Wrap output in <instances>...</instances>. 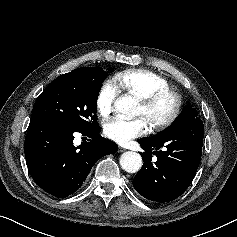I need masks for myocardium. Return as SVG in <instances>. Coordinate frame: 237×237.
Instances as JSON below:
<instances>
[{"mask_svg":"<svg viewBox=\"0 0 237 237\" xmlns=\"http://www.w3.org/2000/svg\"><path fill=\"white\" fill-rule=\"evenodd\" d=\"M165 99L171 101V108L169 112L159 118L151 117V111L156 107V105H158L162 100ZM139 101L148 114V123L153 131H159L170 126L177 119L182 108L181 96L177 92L169 89L153 92L147 96L140 98Z\"/></svg>","mask_w":237,"mask_h":237,"instance_id":"obj_1","label":"myocardium"}]
</instances>
